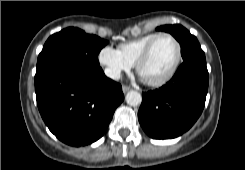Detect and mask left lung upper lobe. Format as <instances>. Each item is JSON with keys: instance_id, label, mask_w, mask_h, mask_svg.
<instances>
[{"instance_id": "1", "label": "left lung upper lobe", "mask_w": 245, "mask_h": 170, "mask_svg": "<svg viewBox=\"0 0 245 170\" xmlns=\"http://www.w3.org/2000/svg\"><path fill=\"white\" fill-rule=\"evenodd\" d=\"M156 30L169 32L181 46L183 61L206 63L205 54L195 36L181 25H165L157 27Z\"/></svg>"}]
</instances>
